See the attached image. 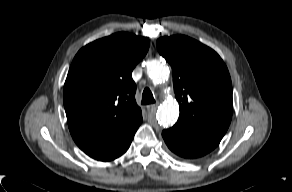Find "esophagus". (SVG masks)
Segmentation results:
<instances>
[{
	"label": "esophagus",
	"mask_w": 292,
	"mask_h": 192,
	"mask_svg": "<svg viewBox=\"0 0 292 192\" xmlns=\"http://www.w3.org/2000/svg\"><path fill=\"white\" fill-rule=\"evenodd\" d=\"M159 103L151 104L147 106L148 111H155Z\"/></svg>",
	"instance_id": "34e87169"
}]
</instances>
